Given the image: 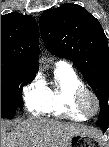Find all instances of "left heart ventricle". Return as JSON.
<instances>
[{
  "instance_id": "obj_1",
  "label": "left heart ventricle",
  "mask_w": 109,
  "mask_h": 147,
  "mask_svg": "<svg viewBox=\"0 0 109 147\" xmlns=\"http://www.w3.org/2000/svg\"><path fill=\"white\" fill-rule=\"evenodd\" d=\"M84 106L89 113H94L96 110V102L94 98L92 96H86L84 99Z\"/></svg>"
}]
</instances>
